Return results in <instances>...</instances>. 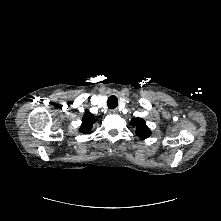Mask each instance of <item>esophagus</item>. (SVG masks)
<instances>
[{"label": "esophagus", "instance_id": "obj_1", "mask_svg": "<svg viewBox=\"0 0 221 221\" xmlns=\"http://www.w3.org/2000/svg\"><path fill=\"white\" fill-rule=\"evenodd\" d=\"M110 113H113V114H114V113H116V110H115V109H111V110H110Z\"/></svg>", "mask_w": 221, "mask_h": 221}]
</instances>
